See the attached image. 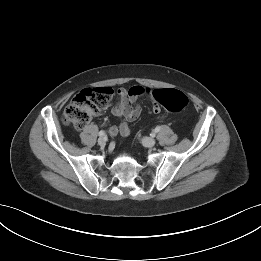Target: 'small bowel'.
<instances>
[{
    "label": "small bowel",
    "mask_w": 261,
    "mask_h": 261,
    "mask_svg": "<svg viewBox=\"0 0 261 261\" xmlns=\"http://www.w3.org/2000/svg\"><path fill=\"white\" fill-rule=\"evenodd\" d=\"M152 93L149 88L140 85L131 86L129 88L119 87L117 89L118 102L111 108V113L123 119L118 127L122 136H128L130 134V127L127 122L134 121L140 116L141 108L136 104V101L141 96L148 95L153 100L154 112L158 113L160 111Z\"/></svg>",
    "instance_id": "c3829d8e"
}]
</instances>
